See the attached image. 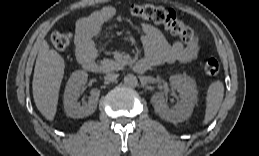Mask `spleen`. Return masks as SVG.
<instances>
[{
	"instance_id": "spleen-1",
	"label": "spleen",
	"mask_w": 259,
	"mask_h": 156,
	"mask_svg": "<svg viewBox=\"0 0 259 156\" xmlns=\"http://www.w3.org/2000/svg\"><path fill=\"white\" fill-rule=\"evenodd\" d=\"M224 97V85L217 80L212 82L206 94V109L203 124L210 122L217 114Z\"/></svg>"
}]
</instances>
